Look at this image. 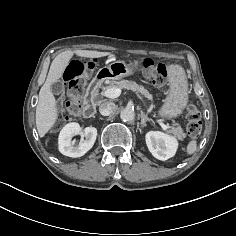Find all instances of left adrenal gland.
<instances>
[{
	"label": "left adrenal gland",
	"instance_id": "obj_1",
	"mask_svg": "<svg viewBox=\"0 0 236 236\" xmlns=\"http://www.w3.org/2000/svg\"><path fill=\"white\" fill-rule=\"evenodd\" d=\"M150 121V119L141 111V126L146 127V122Z\"/></svg>",
	"mask_w": 236,
	"mask_h": 236
}]
</instances>
